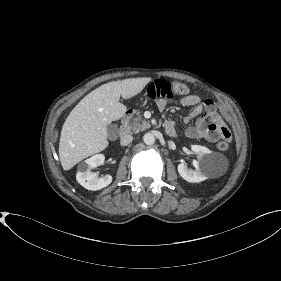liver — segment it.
<instances>
[{"label": "liver", "mask_w": 281, "mask_h": 281, "mask_svg": "<svg viewBox=\"0 0 281 281\" xmlns=\"http://www.w3.org/2000/svg\"><path fill=\"white\" fill-rule=\"evenodd\" d=\"M150 78L112 81L86 95L65 120L59 142V158L64 170L108 146V128L126 113L120 97L130 99L139 94Z\"/></svg>", "instance_id": "1"}]
</instances>
